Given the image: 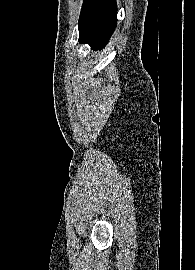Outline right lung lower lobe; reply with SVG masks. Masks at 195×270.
I'll return each mask as SVG.
<instances>
[{
	"instance_id": "98d812e1",
	"label": "right lung lower lobe",
	"mask_w": 195,
	"mask_h": 270,
	"mask_svg": "<svg viewBox=\"0 0 195 270\" xmlns=\"http://www.w3.org/2000/svg\"><path fill=\"white\" fill-rule=\"evenodd\" d=\"M117 23L116 0H84L79 17V41L102 48Z\"/></svg>"
}]
</instances>
